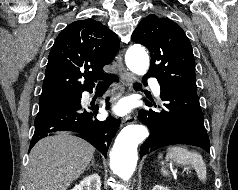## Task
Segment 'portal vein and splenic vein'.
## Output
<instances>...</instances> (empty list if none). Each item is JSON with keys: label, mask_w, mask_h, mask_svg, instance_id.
Here are the masks:
<instances>
[{"label": "portal vein and splenic vein", "mask_w": 238, "mask_h": 190, "mask_svg": "<svg viewBox=\"0 0 238 190\" xmlns=\"http://www.w3.org/2000/svg\"><path fill=\"white\" fill-rule=\"evenodd\" d=\"M185 170H187V169H185ZM172 172L175 175L177 173V170H172ZM186 172H188V170Z\"/></svg>", "instance_id": "obj_1"}]
</instances>
